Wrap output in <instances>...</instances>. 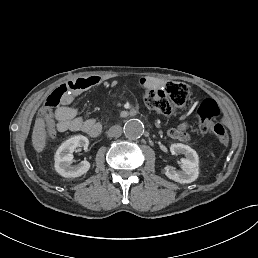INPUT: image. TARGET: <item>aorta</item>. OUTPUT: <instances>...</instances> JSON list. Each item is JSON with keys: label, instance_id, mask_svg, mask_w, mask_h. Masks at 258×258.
<instances>
[{"label": "aorta", "instance_id": "obj_1", "mask_svg": "<svg viewBox=\"0 0 258 258\" xmlns=\"http://www.w3.org/2000/svg\"><path fill=\"white\" fill-rule=\"evenodd\" d=\"M123 132L129 139H138L144 133V125L139 119H130L125 123Z\"/></svg>", "mask_w": 258, "mask_h": 258}]
</instances>
